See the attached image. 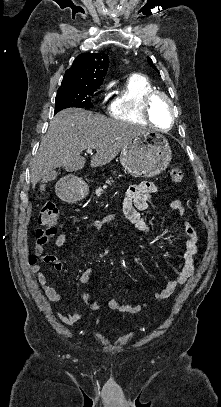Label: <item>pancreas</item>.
Wrapping results in <instances>:
<instances>
[{
    "mask_svg": "<svg viewBox=\"0 0 221 407\" xmlns=\"http://www.w3.org/2000/svg\"><path fill=\"white\" fill-rule=\"evenodd\" d=\"M112 182H113V180H111V179L106 181V183L108 185H111ZM106 188H107V185H103V188L99 187L98 189L95 190V194L97 196H100L102 194V192H103V189H106Z\"/></svg>",
    "mask_w": 221,
    "mask_h": 407,
    "instance_id": "obj_1",
    "label": "pancreas"
}]
</instances>
